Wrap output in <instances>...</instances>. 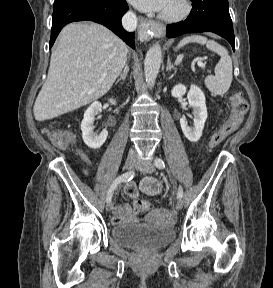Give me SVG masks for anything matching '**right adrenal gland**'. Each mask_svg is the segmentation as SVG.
Here are the masks:
<instances>
[{
  "mask_svg": "<svg viewBox=\"0 0 273 288\" xmlns=\"http://www.w3.org/2000/svg\"><path fill=\"white\" fill-rule=\"evenodd\" d=\"M129 72V67L125 66L123 72L120 74V78L116 81L115 84L119 83L121 80H125Z\"/></svg>",
  "mask_w": 273,
  "mask_h": 288,
  "instance_id": "2a0ac1e0",
  "label": "right adrenal gland"
}]
</instances>
